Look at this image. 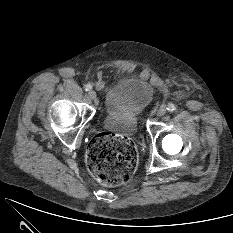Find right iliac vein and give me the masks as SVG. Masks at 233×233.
Instances as JSON below:
<instances>
[{
  "instance_id": "63e3f726",
  "label": "right iliac vein",
  "mask_w": 233,
  "mask_h": 233,
  "mask_svg": "<svg viewBox=\"0 0 233 233\" xmlns=\"http://www.w3.org/2000/svg\"><path fill=\"white\" fill-rule=\"evenodd\" d=\"M88 95L91 99H96V96H97L96 92L93 90H90Z\"/></svg>"
}]
</instances>
